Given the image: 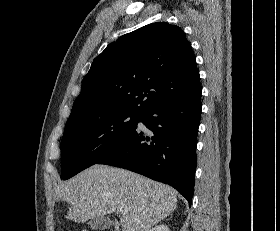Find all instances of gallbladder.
I'll return each mask as SVG.
<instances>
[{
	"label": "gallbladder",
	"instance_id": "obj_1",
	"mask_svg": "<svg viewBox=\"0 0 280 231\" xmlns=\"http://www.w3.org/2000/svg\"><path fill=\"white\" fill-rule=\"evenodd\" d=\"M88 225L92 229H109V227H112L113 221L109 217H93L88 221Z\"/></svg>",
	"mask_w": 280,
	"mask_h": 231
}]
</instances>
